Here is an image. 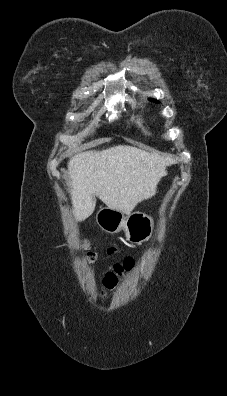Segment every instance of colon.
Listing matches in <instances>:
<instances>
[{"instance_id": "1", "label": "colon", "mask_w": 227, "mask_h": 396, "mask_svg": "<svg viewBox=\"0 0 227 396\" xmlns=\"http://www.w3.org/2000/svg\"><path fill=\"white\" fill-rule=\"evenodd\" d=\"M95 258V254L87 250L86 259L88 262H93ZM134 267V260L131 257L125 258L123 261L116 263L111 270H109L103 280L104 290L110 291L114 289L122 275L128 271H130Z\"/></svg>"}]
</instances>
